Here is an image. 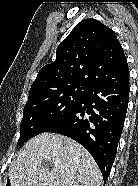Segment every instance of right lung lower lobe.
<instances>
[{
	"label": "right lung lower lobe",
	"mask_w": 138,
	"mask_h": 186,
	"mask_svg": "<svg viewBox=\"0 0 138 186\" xmlns=\"http://www.w3.org/2000/svg\"><path fill=\"white\" fill-rule=\"evenodd\" d=\"M129 101V79L116 85L87 88L82 102L45 132L70 137L85 147L109 177Z\"/></svg>",
	"instance_id": "1"
}]
</instances>
